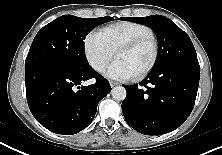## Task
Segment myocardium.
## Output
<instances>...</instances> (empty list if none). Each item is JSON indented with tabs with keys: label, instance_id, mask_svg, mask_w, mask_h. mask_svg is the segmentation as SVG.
<instances>
[{
	"label": "myocardium",
	"instance_id": "myocardium-1",
	"mask_svg": "<svg viewBox=\"0 0 222 155\" xmlns=\"http://www.w3.org/2000/svg\"><path fill=\"white\" fill-rule=\"evenodd\" d=\"M148 41L153 43V47H154L153 58H152L151 62L149 63V65L145 69H143L140 73L133 76L134 79H136V80H141V79L145 78L155 68V66L158 62V59H159V55H160V45H159L158 38L156 37V35L154 33L149 34V35H143V36H140L128 43L121 45L116 50V57H117L120 53L134 50L137 47H139L140 45H142L143 43L148 42Z\"/></svg>",
	"mask_w": 222,
	"mask_h": 155
}]
</instances>
